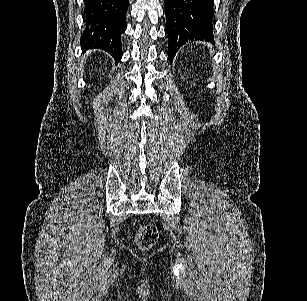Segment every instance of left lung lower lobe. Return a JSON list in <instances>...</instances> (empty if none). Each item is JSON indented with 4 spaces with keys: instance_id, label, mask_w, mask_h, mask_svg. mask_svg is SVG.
Here are the masks:
<instances>
[{
    "instance_id": "left-lung-lower-lobe-1",
    "label": "left lung lower lobe",
    "mask_w": 307,
    "mask_h": 301,
    "mask_svg": "<svg viewBox=\"0 0 307 301\" xmlns=\"http://www.w3.org/2000/svg\"><path fill=\"white\" fill-rule=\"evenodd\" d=\"M170 63L187 40L214 42L213 0H164Z\"/></svg>"
}]
</instances>
